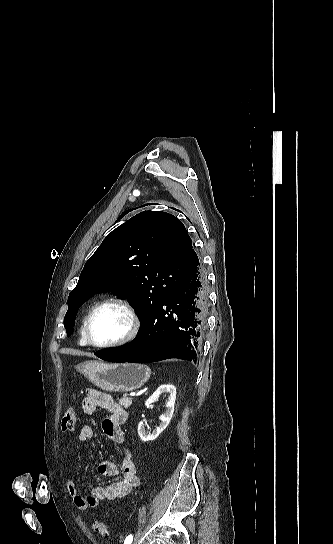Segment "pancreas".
I'll list each match as a JSON object with an SVG mask.
<instances>
[{"mask_svg": "<svg viewBox=\"0 0 333 544\" xmlns=\"http://www.w3.org/2000/svg\"><path fill=\"white\" fill-rule=\"evenodd\" d=\"M119 404L124 406V408L128 409L132 405V398H128L126 395H124L119 400Z\"/></svg>", "mask_w": 333, "mask_h": 544, "instance_id": "pancreas-1", "label": "pancreas"}]
</instances>
